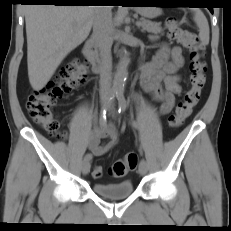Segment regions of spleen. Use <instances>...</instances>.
<instances>
[{
  "mask_svg": "<svg viewBox=\"0 0 231 231\" xmlns=\"http://www.w3.org/2000/svg\"><path fill=\"white\" fill-rule=\"evenodd\" d=\"M194 21L199 28V38L203 45L209 43V25L206 17L200 10H195Z\"/></svg>",
  "mask_w": 231,
  "mask_h": 231,
  "instance_id": "spleen-1",
  "label": "spleen"
}]
</instances>
